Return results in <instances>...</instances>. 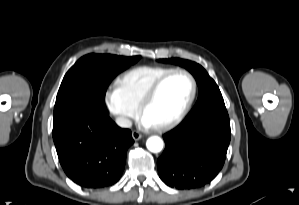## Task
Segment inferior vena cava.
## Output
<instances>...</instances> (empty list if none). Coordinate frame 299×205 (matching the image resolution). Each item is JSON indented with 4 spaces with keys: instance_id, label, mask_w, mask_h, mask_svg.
I'll return each mask as SVG.
<instances>
[{
    "instance_id": "inferior-vena-cava-1",
    "label": "inferior vena cava",
    "mask_w": 299,
    "mask_h": 205,
    "mask_svg": "<svg viewBox=\"0 0 299 205\" xmlns=\"http://www.w3.org/2000/svg\"><path fill=\"white\" fill-rule=\"evenodd\" d=\"M116 124L122 128H130L132 126L131 120L126 117H117Z\"/></svg>"
}]
</instances>
